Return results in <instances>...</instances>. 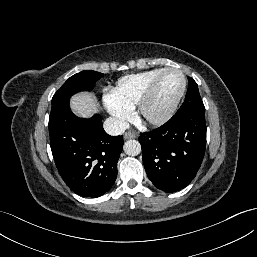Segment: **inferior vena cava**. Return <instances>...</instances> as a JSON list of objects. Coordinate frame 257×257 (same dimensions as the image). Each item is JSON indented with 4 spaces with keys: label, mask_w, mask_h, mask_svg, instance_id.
Instances as JSON below:
<instances>
[{
    "label": "inferior vena cava",
    "mask_w": 257,
    "mask_h": 257,
    "mask_svg": "<svg viewBox=\"0 0 257 257\" xmlns=\"http://www.w3.org/2000/svg\"><path fill=\"white\" fill-rule=\"evenodd\" d=\"M128 123L116 117H109L104 122V130L113 136L121 135L128 128Z\"/></svg>",
    "instance_id": "1"
}]
</instances>
